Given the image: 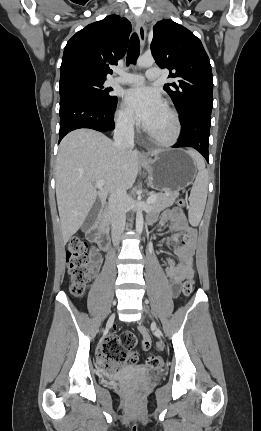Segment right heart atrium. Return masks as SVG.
Here are the masks:
<instances>
[{"label":"right heart atrium","instance_id":"d8ad5b80","mask_svg":"<svg viewBox=\"0 0 261 431\" xmlns=\"http://www.w3.org/2000/svg\"><path fill=\"white\" fill-rule=\"evenodd\" d=\"M115 122L117 126L123 130H132L135 126L132 115L124 107H120L116 111Z\"/></svg>","mask_w":261,"mask_h":431}]
</instances>
